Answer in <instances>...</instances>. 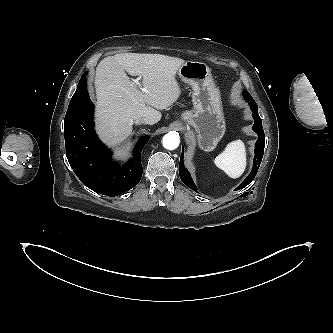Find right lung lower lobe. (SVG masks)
I'll list each match as a JSON object with an SVG mask.
<instances>
[{"mask_svg":"<svg viewBox=\"0 0 333 333\" xmlns=\"http://www.w3.org/2000/svg\"><path fill=\"white\" fill-rule=\"evenodd\" d=\"M87 72L81 77L65 119L66 156L80 181L91 190L116 196L137 185L142 176L141 151L148 136L141 137L133 158L122 166L111 160V151L98 139L93 123L94 105L86 87Z\"/></svg>","mask_w":333,"mask_h":333,"instance_id":"98d812e1","label":"right lung lower lobe"}]
</instances>
